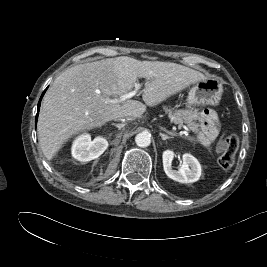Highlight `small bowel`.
<instances>
[{"label": "small bowel", "mask_w": 267, "mask_h": 267, "mask_svg": "<svg viewBox=\"0 0 267 267\" xmlns=\"http://www.w3.org/2000/svg\"><path fill=\"white\" fill-rule=\"evenodd\" d=\"M198 120L200 123L198 138L203 144H209L218 134V116L214 111L205 109L199 113Z\"/></svg>", "instance_id": "small-bowel-1"}]
</instances>
